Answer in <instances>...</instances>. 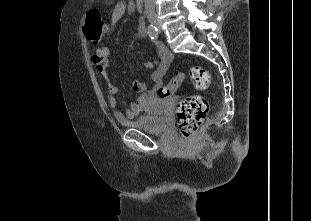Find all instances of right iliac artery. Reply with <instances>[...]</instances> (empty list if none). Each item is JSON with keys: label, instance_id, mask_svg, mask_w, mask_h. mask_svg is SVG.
Returning a JSON list of instances; mask_svg holds the SVG:
<instances>
[{"label": "right iliac artery", "instance_id": "obj_1", "mask_svg": "<svg viewBox=\"0 0 311 221\" xmlns=\"http://www.w3.org/2000/svg\"><path fill=\"white\" fill-rule=\"evenodd\" d=\"M147 32L152 40L153 39L156 40L158 38L159 33H158L157 28L154 25L150 24L147 28Z\"/></svg>", "mask_w": 311, "mask_h": 221}]
</instances>
